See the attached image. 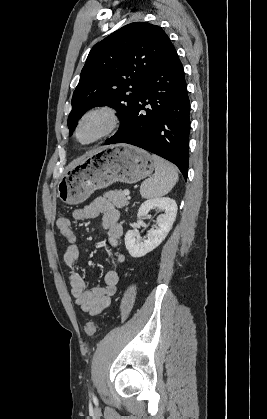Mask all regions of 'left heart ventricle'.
<instances>
[{
    "label": "left heart ventricle",
    "mask_w": 267,
    "mask_h": 419,
    "mask_svg": "<svg viewBox=\"0 0 267 419\" xmlns=\"http://www.w3.org/2000/svg\"><path fill=\"white\" fill-rule=\"evenodd\" d=\"M104 120L101 117H92L80 129V139L88 141L94 138L103 128Z\"/></svg>",
    "instance_id": "obj_1"
}]
</instances>
